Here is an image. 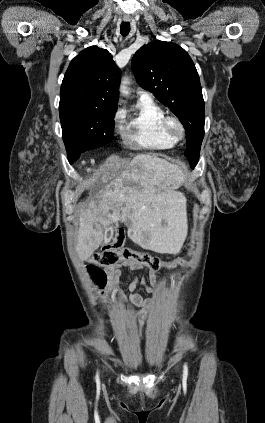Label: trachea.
<instances>
[{
	"label": "trachea",
	"instance_id": "1",
	"mask_svg": "<svg viewBox=\"0 0 265 423\" xmlns=\"http://www.w3.org/2000/svg\"><path fill=\"white\" fill-rule=\"evenodd\" d=\"M120 32L122 36H127L130 32V23L122 22L120 26Z\"/></svg>",
	"mask_w": 265,
	"mask_h": 423
}]
</instances>
